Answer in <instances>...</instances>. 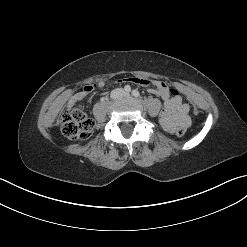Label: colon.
<instances>
[{
	"label": "colon",
	"instance_id": "1",
	"mask_svg": "<svg viewBox=\"0 0 247 247\" xmlns=\"http://www.w3.org/2000/svg\"><path fill=\"white\" fill-rule=\"evenodd\" d=\"M169 92L173 96H179L177 90L169 88ZM61 131L65 137L71 140H82L90 136L94 122L88 118L85 112L79 108L66 110L61 117ZM186 132V128L179 126L176 129V135L182 136Z\"/></svg>",
	"mask_w": 247,
	"mask_h": 247
}]
</instances>
